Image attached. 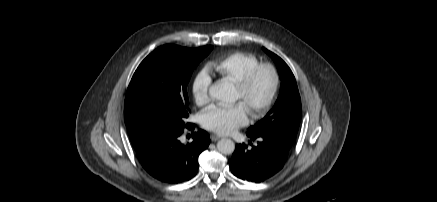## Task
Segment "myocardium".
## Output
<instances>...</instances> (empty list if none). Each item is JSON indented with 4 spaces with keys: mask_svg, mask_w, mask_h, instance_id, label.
<instances>
[{
    "mask_svg": "<svg viewBox=\"0 0 437 202\" xmlns=\"http://www.w3.org/2000/svg\"><path fill=\"white\" fill-rule=\"evenodd\" d=\"M262 70H267L270 72L272 77V86L267 98L262 103L251 109L250 115L253 118H260L261 116H263L269 110L272 103L274 102L280 83L279 73L276 67L271 63H258L257 65L249 69L244 74V76L239 81L236 82V86L241 91L246 92L250 88L256 75Z\"/></svg>",
    "mask_w": 437,
    "mask_h": 202,
    "instance_id": "myocardium-1",
    "label": "myocardium"
}]
</instances>
